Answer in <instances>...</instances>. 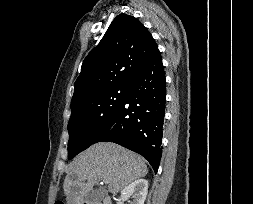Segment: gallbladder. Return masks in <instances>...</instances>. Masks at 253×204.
<instances>
[{
  "label": "gallbladder",
  "instance_id": "1",
  "mask_svg": "<svg viewBox=\"0 0 253 204\" xmlns=\"http://www.w3.org/2000/svg\"><path fill=\"white\" fill-rule=\"evenodd\" d=\"M86 199L90 201L101 200L103 199V191L100 189L92 191L87 194Z\"/></svg>",
  "mask_w": 253,
  "mask_h": 204
}]
</instances>
